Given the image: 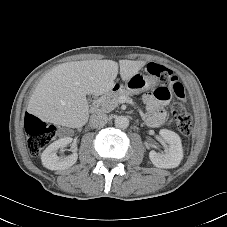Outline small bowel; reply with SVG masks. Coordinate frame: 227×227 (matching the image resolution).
Instances as JSON below:
<instances>
[{
    "mask_svg": "<svg viewBox=\"0 0 227 227\" xmlns=\"http://www.w3.org/2000/svg\"><path fill=\"white\" fill-rule=\"evenodd\" d=\"M171 96V91L167 87H161L154 91V93H147L143 100L147 108L145 115L146 123L151 127H158L164 123L166 119V112L162 105H165Z\"/></svg>",
    "mask_w": 227,
    "mask_h": 227,
    "instance_id": "1",
    "label": "small bowel"
}]
</instances>
